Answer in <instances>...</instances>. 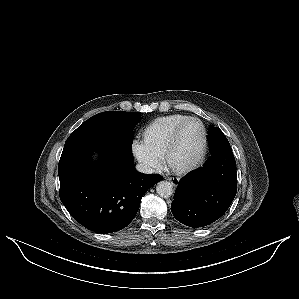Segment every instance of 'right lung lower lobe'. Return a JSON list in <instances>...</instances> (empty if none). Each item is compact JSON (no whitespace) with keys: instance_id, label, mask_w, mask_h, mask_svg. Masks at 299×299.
Here are the masks:
<instances>
[{"instance_id":"obj_1","label":"right lung lower lobe","mask_w":299,"mask_h":299,"mask_svg":"<svg viewBox=\"0 0 299 299\" xmlns=\"http://www.w3.org/2000/svg\"><path fill=\"white\" fill-rule=\"evenodd\" d=\"M93 151L100 154L95 163ZM58 175L60 199L70 215L100 234L125 228L135 217L144 193L163 179L138 172L131 149L93 138L66 140Z\"/></svg>"}]
</instances>
